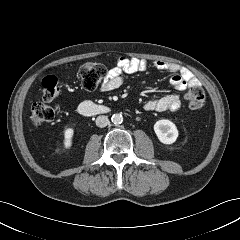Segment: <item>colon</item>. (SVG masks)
<instances>
[{"instance_id":"obj_1","label":"colon","mask_w":240,"mask_h":240,"mask_svg":"<svg viewBox=\"0 0 240 240\" xmlns=\"http://www.w3.org/2000/svg\"><path fill=\"white\" fill-rule=\"evenodd\" d=\"M106 67L99 63L87 62L78 70V76L82 87L87 91L97 88L106 76ZM60 90L56 76L48 75L42 81V102L36 103L31 110V123L34 127L51 122L57 113V109L49 102L54 99ZM188 106L192 110H198L205 103V92L200 85L192 86L185 95Z\"/></svg>"}]
</instances>
